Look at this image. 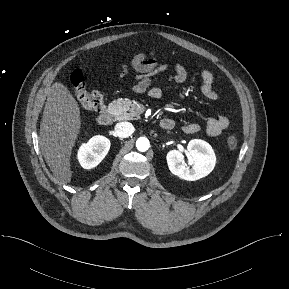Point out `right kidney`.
<instances>
[{
    "label": "right kidney",
    "instance_id": "right-kidney-1",
    "mask_svg": "<svg viewBox=\"0 0 289 289\" xmlns=\"http://www.w3.org/2000/svg\"><path fill=\"white\" fill-rule=\"evenodd\" d=\"M109 149L110 140L104 136L96 135L81 145L77 158L84 169H91L105 158Z\"/></svg>",
    "mask_w": 289,
    "mask_h": 289
}]
</instances>
